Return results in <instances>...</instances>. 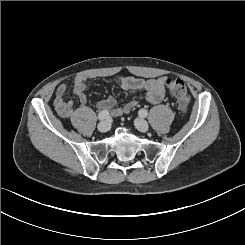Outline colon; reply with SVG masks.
<instances>
[{
    "instance_id": "5ec220e1",
    "label": "colon",
    "mask_w": 245,
    "mask_h": 245,
    "mask_svg": "<svg viewBox=\"0 0 245 245\" xmlns=\"http://www.w3.org/2000/svg\"><path fill=\"white\" fill-rule=\"evenodd\" d=\"M166 86L176 98L177 108L183 113L186 112L190 104V97L185 82L179 78H167Z\"/></svg>"
}]
</instances>
